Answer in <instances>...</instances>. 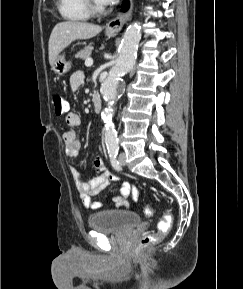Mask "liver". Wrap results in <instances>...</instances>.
I'll use <instances>...</instances> for the list:
<instances>
[{"label":"liver","instance_id":"1","mask_svg":"<svg viewBox=\"0 0 243 289\" xmlns=\"http://www.w3.org/2000/svg\"><path fill=\"white\" fill-rule=\"evenodd\" d=\"M101 30L100 26L85 22L64 21L56 24L48 43L50 65H53L59 53L73 41L90 39L100 33Z\"/></svg>","mask_w":243,"mask_h":289}]
</instances>
